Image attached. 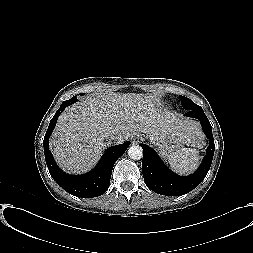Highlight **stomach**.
<instances>
[{
  "label": "stomach",
  "mask_w": 253,
  "mask_h": 253,
  "mask_svg": "<svg viewBox=\"0 0 253 253\" xmlns=\"http://www.w3.org/2000/svg\"><path fill=\"white\" fill-rule=\"evenodd\" d=\"M157 150L163 158H168V156L186 145L182 140L177 137L166 136L158 141Z\"/></svg>",
  "instance_id": "1"
}]
</instances>
